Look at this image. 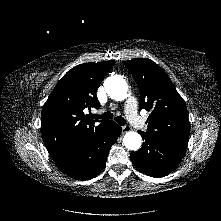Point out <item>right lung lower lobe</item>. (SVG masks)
<instances>
[{
    "label": "right lung lower lobe",
    "mask_w": 221,
    "mask_h": 221,
    "mask_svg": "<svg viewBox=\"0 0 221 221\" xmlns=\"http://www.w3.org/2000/svg\"><path fill=\"white\" fill-rule=\"evenodd\" d=\"M121 127L113 121L97 133L71 156L59 160L57 167L66 175L77 180H88L105 166L111 146L121 134Z\"/></svg>",
    "instance_id": "98d812e1"
}]
</instances>
